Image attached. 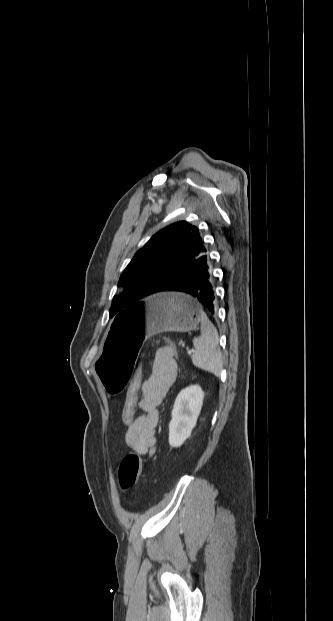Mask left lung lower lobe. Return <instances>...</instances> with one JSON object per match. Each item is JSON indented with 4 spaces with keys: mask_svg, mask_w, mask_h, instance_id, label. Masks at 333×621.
<instances>
[{
    "mask_svg": "<svg viewBox=\"0 0 333 621\" xmlns=\"http://www.w3.org/2000/svg\"><path fill=\"white\" fill-rule=\"evenodd\" d=\"M179 291L196 298L212 314L215 312V293L208 250L191 266L169 280L159 292Z\"/></svg>",
    "mask_w": 333,
    "mask_h": 621,
    "instance_id": "1",
    "label": "left lung lower lobe"
}]
</instances>
